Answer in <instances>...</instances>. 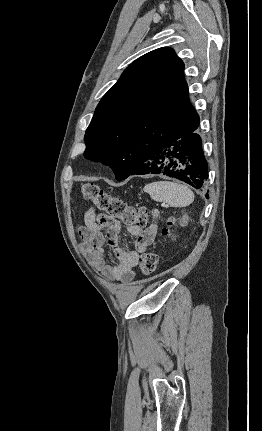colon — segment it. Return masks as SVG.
Returning <instances> with one entry per match:
<instances>
[{
	"instance_id": "1",
	"label": "colon",
	"mask_w": 262,
	"mask_h": 431,
	"mask_svg": "<svg viewBox=\"0 0 262 431\" xmlns=\"http://www.w3.org/2000/svg\"><path fill=\"white\" fill-rule=\"evenodd\" d=\"M82 194L86 200L106 214L108 217L120 220L128 226L143 227L150 221V216L144 208H134L128 206L121 198L116 197L102 189L95 183H86L82 186ZM177 220L170 218L167 226L163 229V236L166 238L173 237V228ZM158 267V255L155 252H145L140 256L139 268L145 275L154 273Z\"/></svg>"
}]
</instances>
